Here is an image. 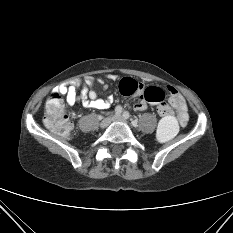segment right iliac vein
Returning <instances> with one entry per match:
<instances>
[{"label": "right iliac vein", "instance_id": "obj_1", "mask_svg": "<svg viewBox=\"0 0 233 233\" xmlns=\"http://www.w3.org/2000/svg\"><path fill=\"white\" fill-rule=\"evenodd\" d=\"M114 117H112V118L111 117H107V118L103 119V121L100 123V127L102 129L106 128L110 124V122L113 120Z\"/></svg>", "mask_w": 233, "mask_h": 233}]
</instances>
